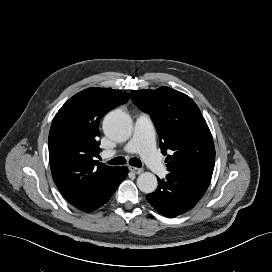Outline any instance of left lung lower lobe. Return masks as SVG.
<instances>
[{
	"label": "left lung lower lobe",
	"mask_w": 272,
	"mask_h": 272,
	"mask_svg": "<svg viewBox=\"0 0 272 272\" xmlns=\"http://www.w3.org/2000/svg\"><path fill=\"white\" fill-rule=\"evenodd\" d=\"M155 192L146 196L148 202L162 215L174 218L192 209L206 192L210 182L181 174L169 173L158 178Z\"/></svg>",
	"instance_id": "1"
}]
</instances>
